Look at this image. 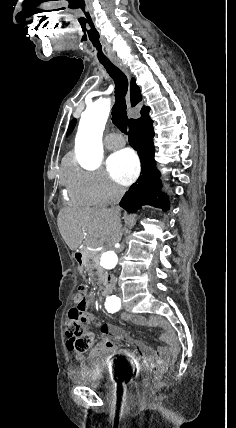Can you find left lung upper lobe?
<instances>
[{
	"label": "left lung upper lobe",
	"instance_id": "obj_1",
	"mask_svg": "<svg viewBox=\"0 0 236 428\" xmlns=\"http://www.w3.org/2000/svg\"><path fill=\"white\" fill-rule=\"evenodd\" d=\"M76 120L73 119L69 125L68 131H67V136L72 132L74 126H75Z\"/></svg>",
	"mask_w": 236,
	"mask_h": 428
}]
</instances>
